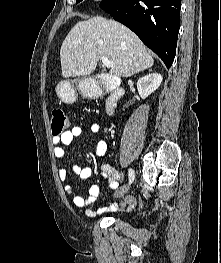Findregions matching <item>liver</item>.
Masks as SVG:
<instances>
[{
  "mask_svg": "<svg viewBox=\"0 0 221 263\" xmlns=\"http://www.w3.org/2000/svg\"><path fill=\"white\" fill-rule=\"evenodd\" d=\"M101 56L113 62L110 74L131 77L153 66V57L127 27L101 16L79 21L64 39L61 69L64 78L90 75Z\"/></svg>",
  "mask_w": 221,
  "mask_h": 263,
  "instance_id": "obj_1",
  "label": "liver"
}]
</instances>
